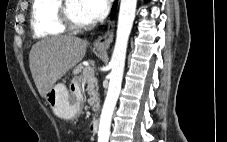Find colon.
Returning <instances> with one entry per match:
<instances>
[{"label":"colon","instance_id":"1","mask_svg":"<svg viewBox=\"0 0 227 142\" xmlns=\"http://www.w3.org/2000/svg\"><path fill=\"white\" fill-rule=\"evenodd\" d=\"M73 142H82V141H80V140H74Z\"/></svg>","mask_w":227,"mask_h":142}]
</instances>
